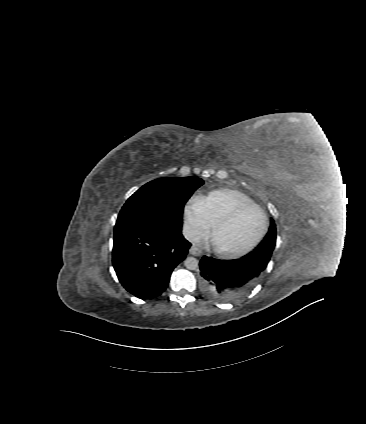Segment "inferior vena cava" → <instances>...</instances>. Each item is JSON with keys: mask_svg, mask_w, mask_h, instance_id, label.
<instances>
[{"mask_svg": "<svg viewBox=\"0 0 366 424\" xmlns=\"http://www.w3.org/2000/svg\"><path fill=\"white\" fill-rule=\"evenodd\" d=\"M183 235L191 243H198L200 241L198 231L190 225L183 227Z\"/></svg>", "mask_w": 366, "mask_h": 424, "instance_id": "obj_1", "label": "inferior vena cava"}]
</instances>
